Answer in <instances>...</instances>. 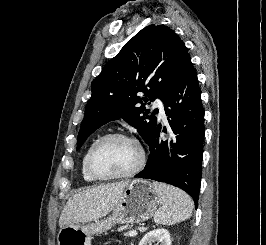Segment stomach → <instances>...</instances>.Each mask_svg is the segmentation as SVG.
I'll return each instance as SVG.
<instances>
[{"label": "stomach", "mask_w": 266, "mask_h": 245, "mask_svg": "<svg viewBox=\"0 0 266 245\" xmlns=\"http://www.w3.org/2000/svg\"><path fill=\"white\" fill-rule=\"evenodd\" d=\"M159 197L149 181L134 179L125 187L115 209L105 219H95L88 225H67L57 237L58 245H91L93 235H102L114 225L142 223L156 213Z\"/></svg>", "instance_id": "0dacf381"}]
</instances>
